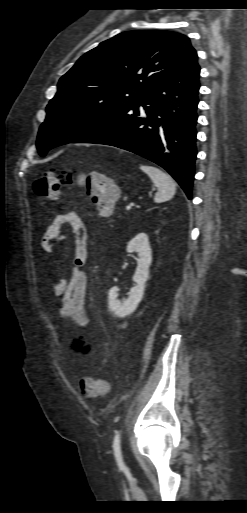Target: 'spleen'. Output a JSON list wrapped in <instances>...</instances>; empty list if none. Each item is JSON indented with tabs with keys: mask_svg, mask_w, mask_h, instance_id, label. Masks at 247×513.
I'll list each match as a JSON object with an SVG mask.
<instances>
[{
	"mask_svg": "<svg viewBox=\"0 0 247 513\" xmlns=\"http://www.w3.org/2000/svg\"><path fill=\"white\" fill-rule=\"evenodd\" d=\"M140 169L148 174L158 189L154 197L156 203L166 202L173 198L176 192V183L169 174L153 166L142 165Z\"/></svg>",
	"mask_w": 247,
	"mask_h": 513,
	"instance_id": "3e777b00",
	"label": "spleen"
}]
</instances>
